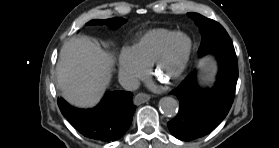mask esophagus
<instances>
[{
  "label": "esophagus",
  "instance_id": "obj_1",
  "mask_svg": "<svg viewBox=\"0 0 279 148\" xmlns=\"http://www.w3.org/2000/svg\"><path fill=\"white\" fill-rule=\"evenodd\" d=\"M150 95L146 93H138L134 98V104L140 105L150 100Z\"/></svg>",
  "mask_w": 279,
  "mask_h": 148
}]
</instances>
